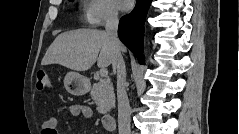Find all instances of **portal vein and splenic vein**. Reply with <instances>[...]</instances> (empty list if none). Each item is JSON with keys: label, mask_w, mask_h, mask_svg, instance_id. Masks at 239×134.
I'll use <instances>...</instances> for the list:
<instances>
[{"label": "portal vein and splenic vein", "mask_w": 239, "mask_h": 134, "mask_svg": "<svg viewBox=\"0 0 239 134\" xmlns=\"http://www.w3.org/2000/svg\"><path fill=\"white\" fill-rule=\"evenodd\" d=\"M100 75L102 77H107L108 76V70L106 68H101L100 69Z\"/></svg>", "instance_id": "obj_1"}]
</instances>
